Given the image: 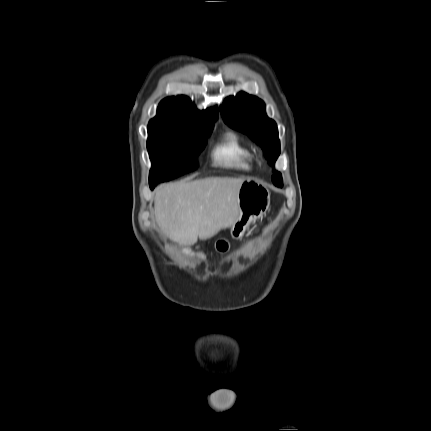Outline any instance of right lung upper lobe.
<instances>
[{"label": "right lung upper lobe", "instance_id": "cb5924a9", "mask_svg": "<svg viewBox=\"0 0 431 431\" xmlns=\"http://www.w3.org/2000/svg\"><path fill=\"white\" fill-rule=\"evenodd\" d=\"M218 115L217 107L199 111L186 96L168 97L160 102L157 116L149 124L201 130L213 126Z\"/></svg>", "mask_w": 431, "mask_h": 431}]
</instances>
